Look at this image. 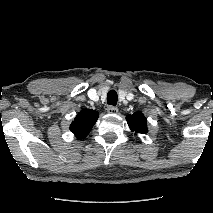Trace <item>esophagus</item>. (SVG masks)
I'll return each instance as SVG.
<instances>
[{
    "label": "esophagus",
    "mask_w": 213,
    "mask_h": 213,
    "mask_svg": "<svg viewBox=\"0 0 213 213\" xmlns=\"http://www.w3.org/2000/svg\"><path fill=\"white\" fill-rule=\"evenodd\" d=\"M107 112H108L109 114H117V113H118V108L115 107V106L110 105V106H108V108H107Z\"/></svg>",
    "instance_id": "esophagus-1"
}]
</instances>
